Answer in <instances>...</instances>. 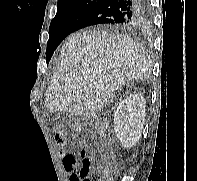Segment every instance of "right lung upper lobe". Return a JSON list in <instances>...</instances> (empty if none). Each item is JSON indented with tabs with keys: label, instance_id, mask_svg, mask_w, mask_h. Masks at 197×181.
<instances>
[{
	"label": "right lung upper lobe",
	"instance_id": "1",
	"mask_svg": "<svg viewBox=\"0 0 197 181\" xmlns=\"http://www.w3.org/2000/svg\"><path fill=\"white\" fill-rule=\"evenodd\" d=\"M100 1L102 0H58L57 11L71 9V8L77 7L79 5H84V4H91L94 6ZM138 27L139 26H129V27L124 28L123 30H134Z\"/></svg>",
	"mask_w": 197,
	"mask_h": 181
}]
</instances>
